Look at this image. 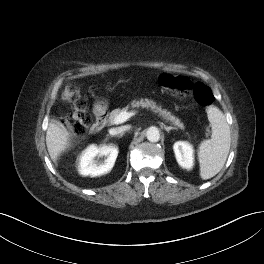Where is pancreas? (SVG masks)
<instances>
[{"instance_id":"pancreas-1","label":"pancreas","mask_w":264,"mask_h":264,"mask_svg":"<svg viewBox=\"0 0 264 264\" xmlns=\"http://www.w3.org/2000/svg\"><path fill=\"white\" fill-rule=\"evenodd\" d=\"M150 108L153 112L157 113L159 116H161L164 120L167 122H171L175 126L184 129L183 123L175 116H173L170 112H168L166 109H162L161 106H158L154 101L148 100V99H141L139 101H133L131 103V108ZM129 106H126L125 108L121 109H115L111 113L108 114L107 123L109 125L113 124L114 118L120 114L124 110H128Z\"/></svg>"}]
</instances>
